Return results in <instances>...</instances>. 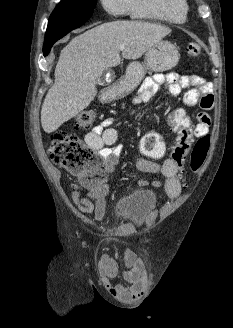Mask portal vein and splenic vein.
I'll return each instance as SVG.
<instances>
[{
	"mask_svg": "<svg viewBox=\"0 0 233 328\" xmlns=\"http://www.w3.org/2000/svg\"><path fill=\"white\" fill-rule=\"evenodd\" d=\"M119 49H120V51H123L125 49V46L124 45H120L119 46Z\"/></svg>",
	"mask_w": 233,
	"mask_h": 328,
	"instance_id": "portal-vein-and-splenic-vein-1",
	"label": "portal vein and splenic vein"
}]
</instances>
